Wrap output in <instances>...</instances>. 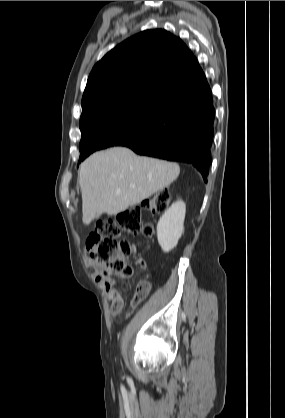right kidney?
I'll use <instances>...</instances> for the list:
<instances>
[{"label": "right kidney", "mask_w": 285, "mask_h": 418, "mask_svg": "<svg viewBox=\"0 0 285 418\" xmlns=\"http://www.w3.org/2000/svg\"><path fill=\"white\" fill-rule=\"evenodd\" d=\"M185 212V203L176 201L160 217L157 224V239L164 252H169L177 246L183 233Z\"/></svg>", "instance_id": "1"}]
</instances>
